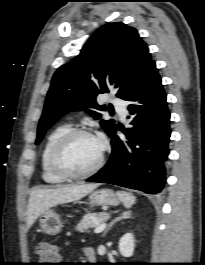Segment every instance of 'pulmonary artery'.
<instances>
[{
    "label": "pulmonary artery",
    "mask_w": 205,
    "mask_h": 265,
    "mask_svg": "<svg viewBox=\"0 0 205 265\" xmlns=\"http://www.w3.org/2000/svg\"><path fill=\"white\" fill-rule=\"evenodd\" d=\"M112 104L115 107V109L119 112V114L124 118L126 116V105L125 102L121 99L114 98L112 100Z\"/></svg>",
    "instance_id": "1"
}]
</instances>
